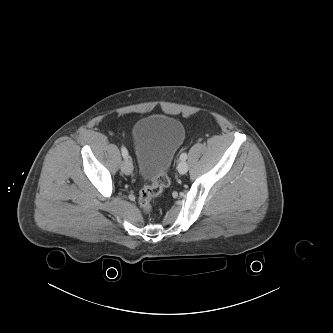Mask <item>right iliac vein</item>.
<instances>
[{"instance_id": "obj_1", "label": "right iliac vein", "mask_w": 333, "mask_h": 333, "mask_svg": "<svg viewBox=\"0 0 333 333\" xmlns=\"http://www.w3.org/2000/svg\"><path fill=\"white\" fill-rule=\"evenodd\" d=\"M121 170L123 173L126 175H130L133 171V165L130 159H126L125 161L122 162L121 164Z\"/></svg>"}]
</instances>
